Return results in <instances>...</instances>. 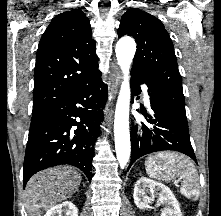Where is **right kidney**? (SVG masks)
Masks as SVG:
<instances>
[{
	"label": "right kidney",
	"mask_w": 221,
	"mask_h": 216,
	"mask_svg": "<svg viewBox=\"0 0 221 216\" xmlns=\"http://www.w3.org/2000/svg\"><path fill=\"white\" fill-rule=\"evenodd\" d=\"M44 216H78V209L72 202L65 201L50 208Z\"/></svg>",
	"instance_id": "1"
}]
</instances>
